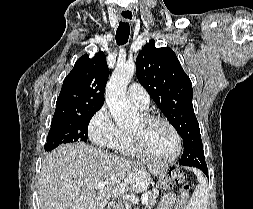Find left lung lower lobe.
Returning <instances> with one entry per match:
<instances>
[{
    "label": "left lung lower lobe",
    "instance_id": "0a47b994",
    "mask_svg": "<svg viewBox=\"0 0 253 209\" xmlns=\"http://www.w3.org/2000/svg\"><path fill=\"white\" fill-rule=\"evenodd\" d=\"M196 168H199L200 170H202L205 173V175L208 176V169H207V165H206L205 161H201V162L198 161L196 163Z\"/></svg>",
    "mask_w": 253,
    "mask_h": 209
}]
</instances>
